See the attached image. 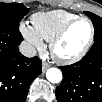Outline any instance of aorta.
<instances>
[{
  "label": "aorta",
  "mask_w": 102,
  "mask_h": 102,
  "mask_svg": "<svg viewBox=\"0 0 102 102\" xmlns=\"http://www.w3.org/2000/svg\"><path fill=\"white\" fill-rule=\"evenodd\" d=\"M46 78L51 83H59L62 80V72L58 68H49L46 72Z\"/></svg>",
  "instance_id": "762f6f07"
}]
</instances>
